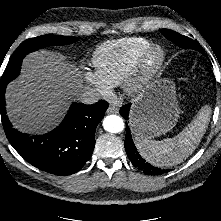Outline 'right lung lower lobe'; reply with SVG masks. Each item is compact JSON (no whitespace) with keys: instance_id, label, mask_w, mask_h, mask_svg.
Wrapping results in <instances>:
<instances>
[{"instance_id":"98d812e1","label":"right lung lower lobe","mask_w":221,"mask_h":221,"mask_svg":"<svg viewBox=\"0 0 221 221\" xmlns=\"http://www.w3.org/2000/svg\"><path fill=\"white\" fill-rule=\"evenodd\" d=\"M0 86V112L6 136L15 150L30 164L54 175L67 176L78 172L92 155L95 131L109 104L100 100L93 105L73 103L62 121L45 135L29 136L12 128L5 109Z\"/></svg>"}]
</instances>
